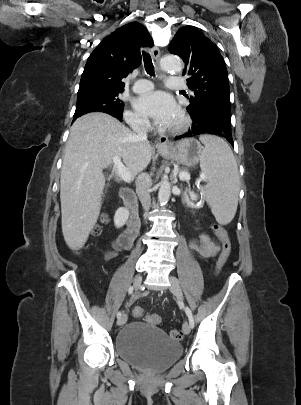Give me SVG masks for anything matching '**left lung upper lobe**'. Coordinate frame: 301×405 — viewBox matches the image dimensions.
<instances>
[{
	"label": "left lung upper lobe",
	"mask_w": 301,
	"mask_h": 405,
	"mask_svg": "<svg viewBox=\"0 0 301 405\" xmlns=\"http://www.w3.org/2000/svg\"><path fill=\"white\" fill-rule=\"evenodd\" d=\"M169 51L183 59V75L189 77L187 84L194 91L187 110L231 116L228 73L217 46L195 27L183 26L171 41Z\"/></svg>",
	"instance_id": "5c2ea615"
}]
</instances>
